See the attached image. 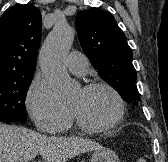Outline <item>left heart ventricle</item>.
Segmentation results:
<instances>
[{
	"mask_svg": "<svg viewBox=\"0 0 168 162\" xmlns=\"http://www.w3.org/2000/svg\"><path fill=\"white\" fill-rule=\"evenodd\" d=\"M69 106L82 120L91 125H104L117 113L113 96L103 89L90 92L80 89L70 100Z\"/></svg>",
	"mask_w": 168,
	"mask_h": 162,
	"instance_id": "b2bd125f",
	"label": "left heart ventricle"
}]
</instances>
